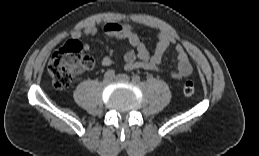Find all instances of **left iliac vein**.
Here are the masks:
<instances>
[{
    "mask_svg": "<svg viewBox=\"0 0 259 156\" xmlns=\"http://www.w3.org/2000/svg\"><path fill=\"white\" fill-rule=\"evenodd\" d=\"M116 79L117 80H125V81H129L130 80V77L126 74H119L116 76Z\"/></svg>",
    "mask_w": 259,
    "mask_h": 156,
    "instance_id": "1",
    "label": "left iliac vein"
}]
</instances>
